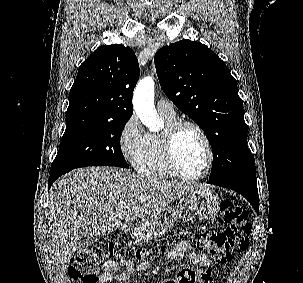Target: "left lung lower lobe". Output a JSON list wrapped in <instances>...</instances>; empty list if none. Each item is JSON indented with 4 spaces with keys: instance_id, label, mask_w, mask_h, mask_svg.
I'll use <instances>...</instances> for the list:
<instances>
[{
    "instance_id": "0a47b994",
    "label": "left lung lower lobe",
    "mask_w": 303,
    "mask_h": 283,
    "mask_svg": "<svg viewBox=\"0 0 303 283\" xmlns=\"http://www.w3.org/2000/svg\"><path fill=\"white\" fill-rule=\"evenodd\" d=\"M207 183L225 187L240 193L250 202L258 213L259 196L256 174H248L224 180H209Z\"/></svg>"
}]
</instances>
